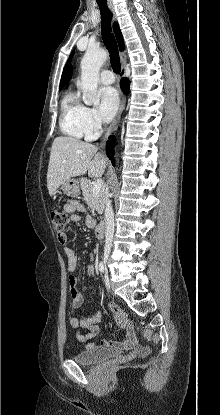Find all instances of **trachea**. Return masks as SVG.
Instances as JSON below:
<instances>
[{
    "label": "trachea",
    "instance_id": "1",
    "mask_svg": "<svg viewBox=\"0 0 220 415\" xmlns=\"http://www.w3.org/2000/svg\"><path fill=\"white\" fill-rule=\"evenodd\" d=\"M101 12V35L103 42L110 54L111 66L115 73H120L121 65L118 54V46L111 29L112 12L109 10L107 4H98Z\"/></svg>",
    "mask_w": 220,
    "mask_h": 415
}]
</instances>
